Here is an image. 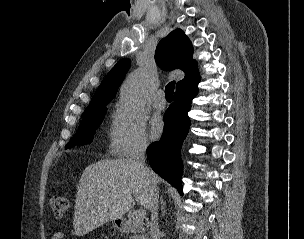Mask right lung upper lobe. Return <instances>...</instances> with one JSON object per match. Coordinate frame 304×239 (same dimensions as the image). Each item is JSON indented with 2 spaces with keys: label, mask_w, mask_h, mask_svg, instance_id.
<instances>
[{
  "label": "right lung upper lobe",
  "mask_w": 304,
  "mask_h": 239,
  "mask_svg": "<svg viewBox=\"0 0 304 239\" xmlns=\"http://www.w3.org/2000/svg\"><path fill=\"white\" fill-rule=\"evenodd\" d=\"M192 54V44L181 29L174 30L162 39L156 48L155 60L162 69H181L185 72L184 79L177 82L176 89L199 75ZM129 66L130 60L124 58L110 70L84 112L107 105L115 97Z\"/></svg>",
  "instance_id": "right-lung-upper-lobe-1"
}]
</instances>
